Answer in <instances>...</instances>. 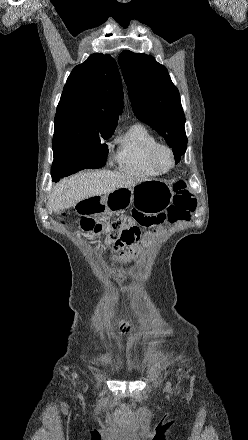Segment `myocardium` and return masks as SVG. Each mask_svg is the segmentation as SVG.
Wrapping results in <instances>:
<instances>
[{
	"instance_id": "1",
	"label": "myocardium",
	"mask_w": 248,
	"mask_h": 440,
	"mask_svg": "<svg viewBox=\"0 0 248 440\" xmlns=\"http://www.w3.org/2000/svg\"><path fill=\"white\" fill-rule=\"evenodd\" d=\"M162 152H167L171 158V164L169 167L162 166L160 162V155ZM149 159L152 166L160 173H168L176 165V156L173 149L165 144L158 143L156 146H154L150 152Z\"/></svg>"
}]
</instances>
